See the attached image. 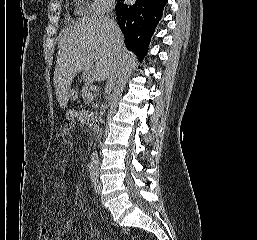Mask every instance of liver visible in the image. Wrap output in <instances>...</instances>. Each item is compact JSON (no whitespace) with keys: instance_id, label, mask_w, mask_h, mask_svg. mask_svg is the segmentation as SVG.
<instances>
[{"instance_id":"6515ba94","label":"liver","mask_w":257,"mask_h":240,"mask_svg":"<svg viewBox=\"0 0 257 240\" xmlns=\"http://www.w3.org/2000/svg\"><path fill=\"white\" fill-rule=\"evenodd\" d=\"M108 17L83 18L66 29L58 45L54 88L61 107L69 99V90L76 74L103 81L108 78L114 61L115 46L108 31ZM120 53H124V38L117 26ZM95 63V65H94Z\"/></svg>"}]
</instances>
